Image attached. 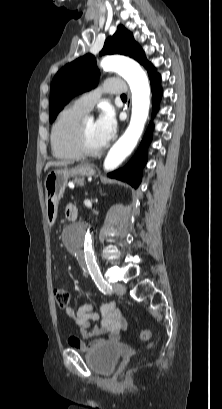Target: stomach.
<instances>
[{
	"label": "stomach",
	"instance_id": "1",
	"mask_svg": "<svg viewBox=\"0 0 222 409\" xmlns=\"http://www.w3.org/2000/svg\"><path fill=\"white\" fill-rule=\"evenodd\" d=\"M95 170L89 164H81L73 168L54 169L45 177V211L49 225L57 218L58 202L63 197L68 179L71 176H93Z\"/></svg>",
	"mask_w": 222,
	"mask_h": 409
}]
</instances>
